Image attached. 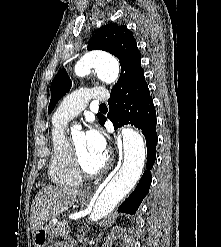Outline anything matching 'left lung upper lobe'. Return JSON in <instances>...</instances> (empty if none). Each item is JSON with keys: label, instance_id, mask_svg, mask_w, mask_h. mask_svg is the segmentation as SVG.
Instances as JSON below:
<instances>
[{"label": "left lung upper lobe", "instance_id": "left-lung-upper-lobe-1", "mask_svg": "<svg viewBox=\"0 0 221 247\" xmlns=\"http://www.w3.org/2000/svg\"><path fill=\"white\" fill-rule=\"evenodd\" d=\"M87 49L104 50L120 60L121 74L112 88L111 94L128 97L148 90V85L144 78V70L141 67V54L132 32L126 26L111 23L101 27L91 38ZM70 88L71 80L63 68L51 83V99L48 113L54 109L57 102ZM97 116L101 121L103 115L98 114Z\"/></svg>", "mask_w": 221, "mask_h": 247}]
</instances>
